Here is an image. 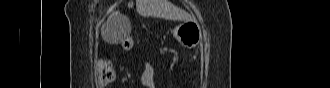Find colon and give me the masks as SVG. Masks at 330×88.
Returning <instances> with one entry per match:
<instances>
[{
  "instance_id": "colon-1",
  "label": "colon",
  "mask_w": 330,
  "mask_h": 88,
  "mask_svg": "<svg viewBox=\"0 0 330 88\" xmlns=\"http://www.w3.org/2000/svg\"><path fill=\"white\" fill-rule=\"evenodd\" d=\"M121 46L125 50L132 49L134 45V40L132 37H126L121 41ZM116 80V70L114 65L110 62L105 60L100 68V82L102 85H109L112 84Z\"/></svg>"
}]
</instances>
